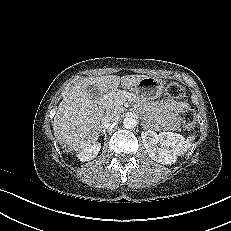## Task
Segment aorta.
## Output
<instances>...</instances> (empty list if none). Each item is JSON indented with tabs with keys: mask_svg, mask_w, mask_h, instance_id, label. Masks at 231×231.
Segmentation results:
<instances>
[{
	"mask_svg": "<svg viewBox=\"0 0 231 231\" xmlns=\"http://www.w3.org/2000/svg\"><path fill=\"white\" fill-rule=\"evenodd\" d=\"M123 126L127 129H131L135 126V120L131 117H126L123 120Z\"/></svg>",
	"mask_w": 231,
	"mask_h": 231,
	"instance_id": "obj_1",
	"label": "aorta"
}]
</instances>
